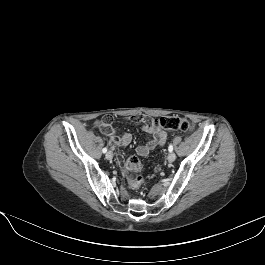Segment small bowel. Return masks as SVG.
<instances>
[{"instance_id": "obj_1", "label": "small bowel", "mask_w": 265, "mask_h": 265, "mask_svg": "<svg viewBox=\"0 0 265 265\" xmlns=\"http://www.w3.org/2000/svg\"><path fill=\"white\" fill-rule=\"evenodd\" d=\"M131 120L140 124L142 130L149 136L145 144L137 147L136 153L139 156H146L156 147L165 144L167 140L166 131L156 127L152 119L142 115H133ZM102 133L110 138L111 144L115 147H126L132 141L131 134L126 132H114L112 128L109 131L102 130ZM117 163L122 168V174L125 175L126 170L124 168L122 155L117 156Z\"/></svg>"}]
</instances>
